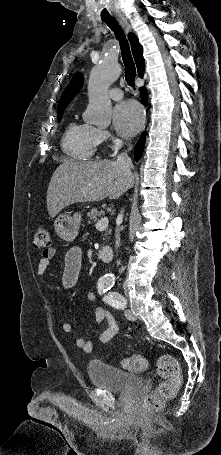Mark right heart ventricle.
Segmentation results:
<instances>
[{"label": "right heart ventricle", "mask_w": 221, "mask_h": 455, "mask_svg": "<svg viewBox=\"0 0 221 455\" xmlns=\"http://www.w3.org/2000/svg\"><path fill=\"white\" fill-rule=\"evenodd\" d=\"M96 128L89 124L72 121L62 138V149L66 155L76 160H88L97 149Z\"/></svg>", "instance_id": "e07e8e85"}]
</instances>
